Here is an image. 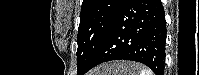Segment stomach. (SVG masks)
Segmentation results:
<instances>
[{"instance_id":"0dacf381","label":"stomach","mask_w":199,"mask_h":75,"mask_svg":"<svg viewBox=\"0 0 199 75\" xmlns=\"http://www.w3.org/2000/svg\"><path fill=\"white\" fill-rule=\"evenodd\" d=\"M95 75H137V66L132 62H111L98 67Z\"/></svg>"}]
</instances>
